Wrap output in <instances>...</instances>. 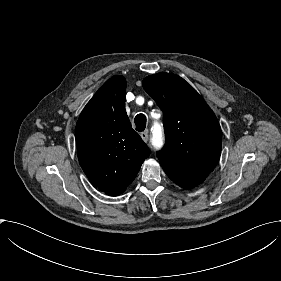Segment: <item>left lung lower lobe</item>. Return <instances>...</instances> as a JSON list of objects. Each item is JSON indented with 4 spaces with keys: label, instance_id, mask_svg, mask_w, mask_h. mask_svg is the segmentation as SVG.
<instances>
[{
    "label": "left lung lower lobe",
    "instance_id": "1",
    "mask_svg": "<svg viewBox=\"0 0 281 281\" xmlns=\"http://www.w3.org/2000/svg\"><path fill=\"white\" fill-rule=\"evenodd\" d=\"M168 177L184 189H191L205 180L208 173H195L177 170L169 165L161 164Z\"/></svg>",
    "mask_w": 281,
    "mask_h": 281
}]
</instances>
